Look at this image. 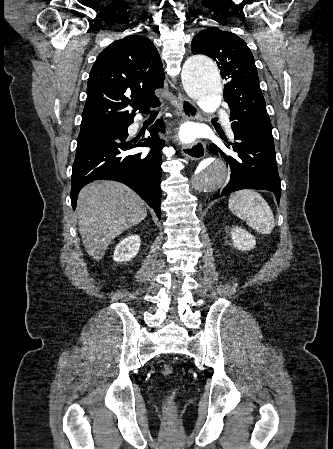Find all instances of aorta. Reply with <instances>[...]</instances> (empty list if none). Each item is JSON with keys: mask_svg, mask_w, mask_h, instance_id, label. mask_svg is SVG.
I'll return each mask as SVG.
<instances>
[{"mask_svg": "<svg viewBox=\"0 0 333 449\" xmlns=\"http://www.w3.org/2000/svg\"><path fill=\"white\" fill-rule=\"evenodd\" d=\"M182 85L185 92L201 105H214L221 101L223 90L218 67L208 56L189 57L182 67ZM228 177L226 160L213 156L201 160L189 175L190 188L199 193L220 190Z\"/></svg>", "mask_w": 333, "mask_h": 449, "instance_id": "obj_1", "label": "aorta"}]
</instances>
